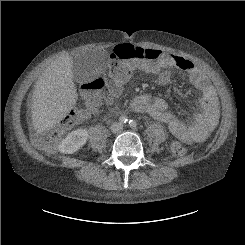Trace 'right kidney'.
Instances as JSON below:
<instances>
[{
    "mask_svg": "<svg viewBox=\"0 0 245 245\" xmlns=\"http://www.w3.org/2000/svg\"><path fill=\"white\" fill-rule=\"evenodd\" d=\"M88 139V131L85 129H77L69 133L59 144V151L65 154H72L78 151Z\"/></svg>",
    "mask_w": 245,
    "mask_h": 245,
    "instance_id": "obj_1",
    "label": "right kidney"
}]
</instances>
